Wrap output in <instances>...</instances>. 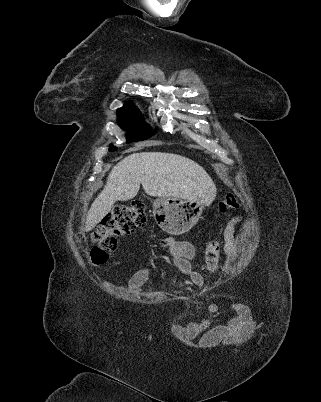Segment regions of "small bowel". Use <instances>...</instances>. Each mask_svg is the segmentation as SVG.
I'll use <instances>...</instances> for the list:
<instances>
[{
    "mask_svg": "<svg viewBox=\"0 0 321 402\" xmlns=\"http://www.w3.org/2000/svg\"><path fill=\"white\" fill-rule=\"evenodd\" d=\"M242 220V216L237 215L232 217L225 225L224 238L230 255L236 252L235 230ZM162 245L167 249L172 265L177 270L189 277L194 284L201 285L203 283V277L200 273L201 264L192 262L197 256V250L193 243L169 237L162 240ZM221 271L222 269L218 268L215 272L219 274ZM147 276L148 271H139L133 275L129 284L123 286V288L136 289L146 280ZM206 308L208 311H215L217 305L215 302H208ZM231 308L235 313H233L232 320H227L225 324L218 323L214 326L213 322L209 324L202 322L201 326H196L195 321H189L184 330L176 329L175 331L183 335L185 339H189L190 335H197L196 341L200 343L201 347H220V339L224 340L226 347H234L236 343L237 345H242V338L250 339L253 337V332L247 330L253 329L255 326L254 321L250 320L252 317L249 311L250 305L248 302H233ZM208 325L213 327L212 330H206ZM197 343H192V348H197Z\"/></svg>",
    "mask_w": 321,
    "mask_h": 402,
    "instance_id": "small-bowel-1",
    "label": "small bowel"
}]
</instances>
